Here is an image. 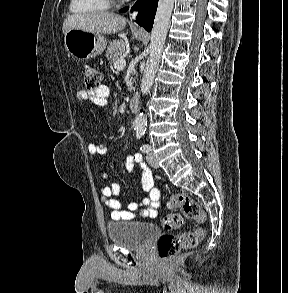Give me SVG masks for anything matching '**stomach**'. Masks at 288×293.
<instances>
[{"label":"stomach","mask_w":288,"mask_h":293,"mask_svg":"<svg viewBox=\"0 0 288 293\" xmlns=\"http://www.w3.org/2000/svg\"><path fill=\"white\" fill-rule=\"evenodd\" d=\"M66 51L76 59H89L101 54L107 45L105 37L81 29L71 28L64 37Z\"/></svg>","instance_id":"obj_1"}]
</instances>
